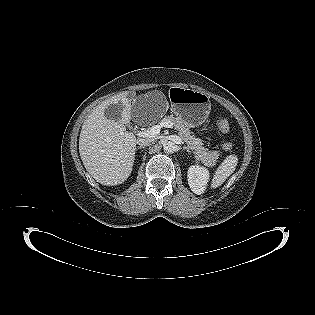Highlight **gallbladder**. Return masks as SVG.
<instances>
[{
    "instance_id": "bac80fb5",
    "label": "gallbladder",
    "mask_w": 315,
    "mask_h": 315,
    "mask_svg": "<svg viewBox=\"0 0 315 315\" xmlns=\"http://www.w3.org/2000/svg\"><path fill=\"white\" fill-rule=\"evenodd\" d=\"M122 105L119 104H110L104 111L105 116L114 121H119L121 119Z\"/></svg>"
}]
</instances>
